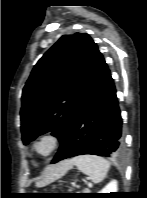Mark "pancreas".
<instances>
[{"label":"pancreas","instance_id":"1","mask_svg":"<svg viewBox=\"0 0 147 198\" xmlns=\"http://www.w3.org/2000/svg\"><path fill=\"white\" fill-rule=\"evenodd\" d=\"M85 192H86V193H89V189H85Z\"/></svg>","mask_w":147,"mask_h":198}]
</instances>
